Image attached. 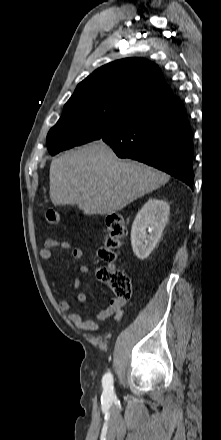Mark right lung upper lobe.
<instances>
[{"instance_id": "right-lung-upper-lobe-1", "label": "right lung upper lobe", "mask_w": 221, "mask_h": 440, "mask_svg": "<svg viewBox=\"0 0 221 440\" xmlns=\"http://www.w3.org/2000/svg\"><path fill=\"white\" fill-rule=\"evenodd\" d=\"M171 94L158 66L143 58H127L106 64L81 83L66 104L108 101L137 110Z\"/></svg>"}]
</instances>
